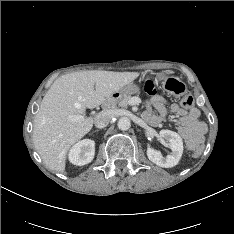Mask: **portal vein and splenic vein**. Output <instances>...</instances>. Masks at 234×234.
I'll list each match as a JSON object with an SVG mask.
<instances>
[{
	"label": "portal vein and splenic vein",
	"instance_id": "obj_1",
	"mask_svg": "<svg viewBox=\"0 0 234 234\" xmlns=\"http://www.w3.org/2000/svg\"><path fill=\"white\" fill-rule=\"evenodd\" d=\"M68 119L70 121H73V122H81V121L84 120V116L83 115H79V114H77V115H69Z\"/></svg>",
	"mask_w": 234,
	"mask_h": 234
}]
</instances>
